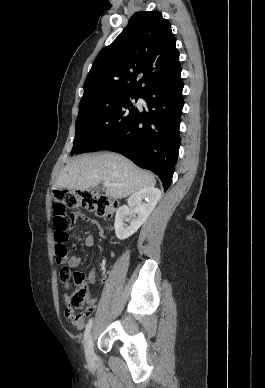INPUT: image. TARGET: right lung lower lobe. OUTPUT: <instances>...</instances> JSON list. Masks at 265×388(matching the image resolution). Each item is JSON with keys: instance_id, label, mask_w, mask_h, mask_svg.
Listing matches in <instances>:
<instances>
[{"instance_id": "obj_1", "label": "right lung lower lobe", "mask_w": 265, "mask_h": 388, "mask_svg": "<svg viewBox=\"0 0 265 388\" xmlns=\"http://www.w3.org/2000/svg\"><path fill=\"white\" fill-rule=\"evenodd\" d=\"M183 86L179 74L147 88L140 97L149 111L137 109L101 148L120 153L158 175L165 191L171 184L179 152Z\"/></svg>"}]
</instances>
